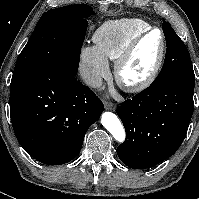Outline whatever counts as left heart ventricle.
Here are the masks:
<instances>
[{
	"label": "left heart ventricle",
	"mask_w": 199,
	"mask_h": 199,
	"mask_svg": "<svg viewBox=\"0 0 199 199\" xmlns=\"http://www.w3.org/2000/svg\"><path fill=\"white\" fill-rule=\"evenodd\" d=\"M161 48V35L153 32L136 48L131 59L124 68V76L129 81H137L152 70Z\"/></svg>",
	"instance_id": "1"
}]
</instances>
